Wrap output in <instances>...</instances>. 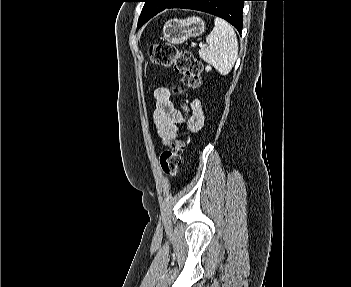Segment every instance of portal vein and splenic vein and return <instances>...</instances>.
Here are the masks:
<instances>
[{
    "instance_id": "obj_1",
    "label": "portal vein and splenic vein",
    "mask_w": 351,
    "mask_h": 287,
    "mask_svg": "<svg viewBox=\"0 0 351 287\" xmlns=\"http://www.w3.org/2000/svg\"><path fill=\"white\" fill-rule=\"evenodd\" d=\"M204 46H205V45H203V44H200V45H199L200 48H203Z\"/></svg>"
}]
</instances>
